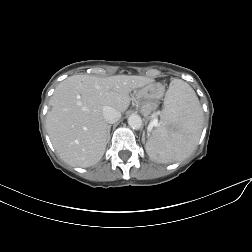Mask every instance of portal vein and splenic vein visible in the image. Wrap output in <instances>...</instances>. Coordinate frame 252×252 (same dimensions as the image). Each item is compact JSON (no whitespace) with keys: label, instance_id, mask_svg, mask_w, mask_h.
Returning a JSON list of instances; mask_svg holds the SVG:
<instances>
[{"label":"portal vein and splenic vein","instance_id":"18ae733b","mask_svg":"<svg viewBox=\"0 0 252 252\" xmlns=\"http://www.w3.org/2000/svg\"><path fill=\"white\" fill-rule=\"evenodd\" d=\"M157 126H158V119L154 117L148 126V130L151 131L153 127H157Z\"/></svg>","mask_w":252,"mask_h":252}]
</instances>
